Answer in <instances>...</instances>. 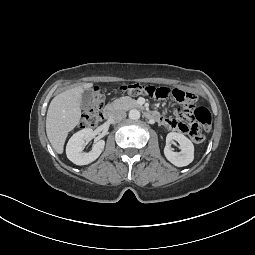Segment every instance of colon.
<instances>
[{"label":"colon","mask_w":255,"mask_h":255,"mask_svg":"<svg viewBox=\"0 0 255 255\" xmlns=\"http://www.w3.org/2000/svg\"><path fill=\"white\" fill-rule=\"evenodd\" d=\"M123 92L129 94H144L152 98L163 99L172 97L182 104L175 107L176 113H181L184 117L195 119L206 131L211 127V115L205 108H196V97L190 92H184L181 89L170 90L166 87H156L154 85H144L139 82L130 83L120 88ZM104 104V95L100 87H95L91 101L84 110L80 126L81 128H94L102 120L101 109ZM190 139L195 143L204 140V135L199 131L196 125H192L187 131Z\"/></svg>","instance_id":"1"}]
</instances>
